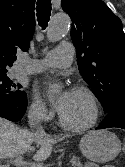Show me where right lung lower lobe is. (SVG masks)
<instances>
[{"label":"right lung lower lobe","instance_id":"1","mask_svg":"<svg viewBox=\"0 0 125 167\" xmlns=\"http://www.w3.org/2000/svg\"><path fill=\"white\" fill-rule=\"evenodd\" d=\"M27 98L20 101L9 100L0 95V117L12 122L19 121L26 112Z\"/></svg>","mask_w":125,"mask_h":167}]
</instances>
